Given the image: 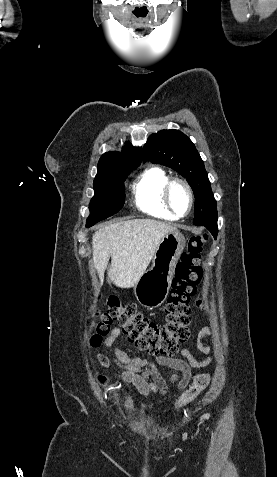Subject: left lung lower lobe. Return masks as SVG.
<instances>
[{
  "instance_id": "left-lung-lower-lobe-1",
  "label": "left lung lower lobe",
  "mask_w": 277,
  "mask_h": 477,
  "mask_svg": "<svg viewBox=\"0 0 277 477\" xmlns=\"http://www.w3.org/2000/svg\"><path fill=\"white\" fill-rule=\"evenodd\" d=\"M203 226H205L211 232V234L214 236V238L216 239L217 232H218L217 221L216 222L204 223Z\"/></svg>"
}]
</instances>
